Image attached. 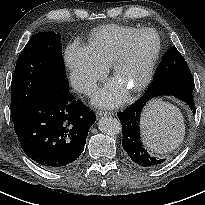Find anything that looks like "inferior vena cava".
<instances>
[{
	"label": "inferior vena cava",
	"mask_w": 205,
	"mask_h": 205,
	"mask_svg": "<svg viewBox=\"0 0 205 205\" xmlns=\"http://www.w3.org/2000/svg\"><path fill=\"white\" fill-rule=\"evenodd\" d=\"M75 90L80 93L90 94L97 89V85L93 82H77L74 86Z\"/></svg>",
	"instance_id": "602c4592"
}]
</instances>
